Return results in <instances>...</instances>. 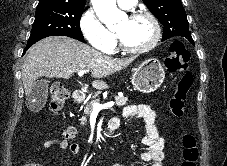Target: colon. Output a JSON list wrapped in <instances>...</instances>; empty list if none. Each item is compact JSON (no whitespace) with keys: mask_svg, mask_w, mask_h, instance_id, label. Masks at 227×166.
I'll use <instances>...</instances> for the list:
<instances>
[{"mask_svg":"<svg viewBox=\"0 0 227 166\" xmlns=\"http://www.w3.org/2000/svg\"><path fill=\"white\" fill-rule=\"evenodd\" d=\"M190 59V52L185 45L177 40L170 46V56L166 66L169 72L183 70L184 73L179 79L176 89L169 101V108L173 116L182 118L185 113V102L187 94L192 87L193 74L187 70ZM68 99V91L61 85H53L50 88V109L53 114L58 113ZM199 151L196 139L191 134L182 137V161L180 166H197ZM26 166H40L36 162H29Z\"/></svg>","mask_w":227,"mask_h":166,"instance_id":"colon-1","label":"colon"}]
</instances>
